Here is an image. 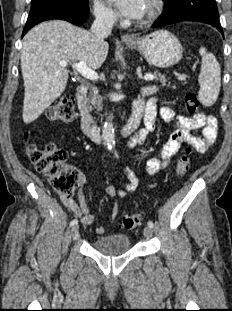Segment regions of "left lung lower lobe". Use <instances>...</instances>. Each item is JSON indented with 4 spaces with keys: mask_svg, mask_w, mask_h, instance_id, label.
I'll return each mask as SVG.
<instances>
[{
    "mask_svg": "<svg viewBox=\"0 0 232 311\" xmlns=\"http://www.w3.org/2000/svg\"><path fill=\"white\" fill-rule=\"evenodd\" d=\"M165 9L153 23V27L181 22H203L216 27L221 34L223 31L215 0H163Z\"/></svg>",
    "mask_w": 232,
    "mask_h": 311,
    "instance_id": "obj_1",
    "label": "left lung lower lobe"
}]
</instances>
